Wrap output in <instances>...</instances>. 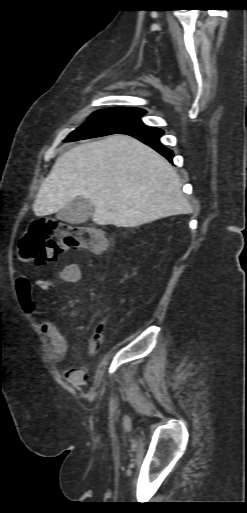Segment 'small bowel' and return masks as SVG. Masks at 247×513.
<instances>
[{
	"mask_svg": "<svg viewBox=\"0 0 247 513\" xmlns=\"http://www.w3.org/2000/svg\"><path fill=\"white\" fill-rule=\"evenodd\" d=\"M82 273L80 265L71 263L65 265L57 277L48 278L41 283L32 285L25 275H19L16 280V290L19 302L25 312L33 319H37L40 312L33 300V291L44 290L53 286L56 282L76 283L81 279ZM40 328L49 345L52 360L55 362L63 361L68 353V342L60 332L59 328L49 320H41ZM66 379L74 385H82L84 380L83 373L79 368H73L66 372Z\"/></svg>",
	"mask_w": 247,
	"mask_h": 513,
	"instance_id": "c3829d8e",
	"label": "small bowel"
}]
</instances>
